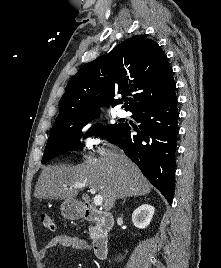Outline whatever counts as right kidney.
<instances>
[{
  "instance_id": "1",
  "label": "right kidney",
  "mask_w": 221,
  "mask_h": 268,
  "mask_svg": "<svg viewBox=\"0 0 221 268\" xmlns=\"http://www.w3.org/2000/svg\"><path fill=\"white\" fill-rule=\"evenodd\" d=\"M154 207L148 204H143L134 210L132 213V222L139 229L146 228L154 215Z\"/></svg>"
}]
</instances>
